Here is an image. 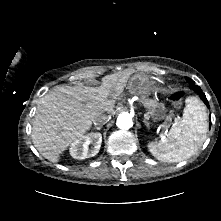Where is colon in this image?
<instances>
[{
	"label": "colon",
	"instance_id": "colon-1",
	"mask_svg": "<svg viewBox=\"0 0 221 221\" xmlns=\"http://www.w3.org/2000/svg\"><path fill=\"white\" fill-rule=\"evenodd\" d=\"M171 102L174 104L176 108H180L182 104V93L181 92H175L170 96Z\"/></svg>",
	"mask_w": 221,
	"mask_h": 221
}]
</instances>
